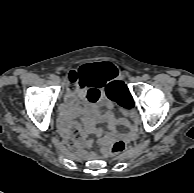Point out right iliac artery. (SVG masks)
I'll return each instance as SVG.
<instances>
[{"instance_id":"82829eb1","label":"right iliac artery","mask_w":194,"mask_h":193,"mask_svg":"<svg viewBox=\"0 0 194 193\" xmlns=\"http://www.w3.org/2000/svg\"><path fill=\"white\" fill-rule=\"evenodd\" d=\"M50 78L51 79H54L55 78V75L54 74H50Z\"/></svg>"}]
</instances>
